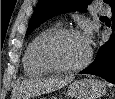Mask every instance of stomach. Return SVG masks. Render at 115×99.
Segmentation results:
<instances>
[{"mask_svg":"<svg viewBox=\"0 0 115 99\" xmlns=\"http://www.w3.org/2000/svg\"><path fill=\"white\" fill-rule=\"evenodd\" d=\"M106 91L105 84L100 80L82 79L68 86L67 95L76 99H96Z\"/></svg>","mask_w":115,"mask_h":99,"instance_id":"1","label":"stomach"}]
</instances>
